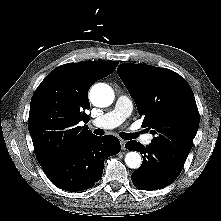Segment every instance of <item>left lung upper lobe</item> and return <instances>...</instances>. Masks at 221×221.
I'll list each match as a JSON object with an SVG mask.
<instances>
[{
    "mask_svg": "<svg viewBox=\"0 0 221 221\" xmlns=\"http://www.w3.org/2000/svg\"><path fill=\"white\" fill-rule=\"evenodd\" d=\"M117 73L144 116L142 126L155 135L151 143L186 161L199 127L187 81L172 70L145 64L123 63Z\"/></svg>",
    "mask_w": 221,
    "mask_h": 221,
    "instance_id": "left-lung-upper-lobe-1",
    "label": "left lung upper lobe"
}]
</instances>
